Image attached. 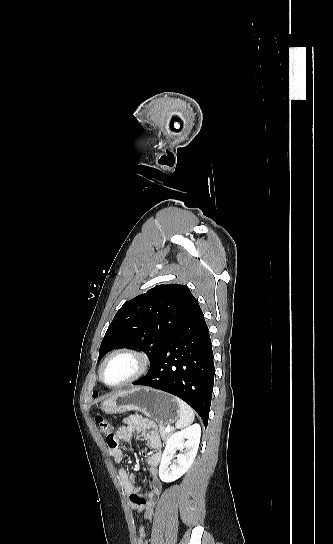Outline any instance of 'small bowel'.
<instances>
[{"mask_svg": "<svg viewBox=\"0 0 333 544\" xmlns=\"http://www.w3.org/2000/svg\"><path fill=\"white\" fill-rule=\"evenodd\" d=\"M140 434L152 452H143L150 473V489L141 493L136 485L135 475L125 468L118 471L119 478L125 492L129 496L131 507L142 512L144 519L150 522L154 516L156 499L161 493L162 484L158 476V467L161 462V440L156 431L155 423L140 415H130L123 419L122 425L106 439L109 454L116 463L123 460L121 442L130 441L133 434ZM136 544H147V531L145 526H140L136 537Z\"/></svg>", "mask_w": 333, "mask_h": 544, "instance_id": "obj_1", "label": "small bowel"}]
</instances>
